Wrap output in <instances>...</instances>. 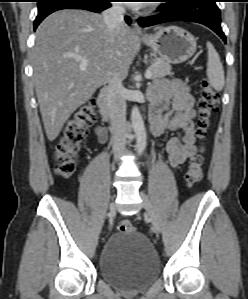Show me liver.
<instances>
[{
  "mask_svg": "<svg viewBox=\"0 0 248 299\" xmlns=\"http://www.w3.org/2000/svg\"><path fill=\"white\" fill-rule=\"evenodd\" d=\"M136 37L125 24L110 32L100 14L75 9L52 13L36 31L34 82L46 136L55 140L71 114L112 76L125 77ZM86 58L84 69L77 59Z\"/></svg>",
  "mask_w": 248,
  "mask_h": 299,
  "instance_id": "1",
  "label": "liver"
}]
</instances>
